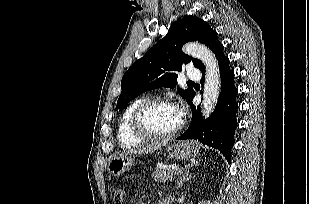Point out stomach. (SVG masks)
I'll return each mask as SVG.
<instances>
[{"mask_svg": "<svg viewBox=\"0 0 309 204\" xmlns=\"http://www.w3.org/2000/svg\"><path fill=\"white\" fill-rule=\"evenodd\" d=\"M199 145L194 141H181L167 146L169 156L179 160H186L199 153ZM135 165V156L132 154L119 155L110 160L107 170L112 176H120Z\"/></svg>", "mask_w": 309, "mask_h": 204, "instance_id": "0dacf381", "label": "stomach"}]
</instances>
